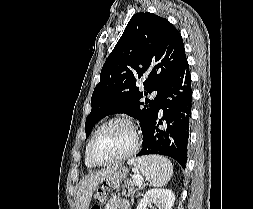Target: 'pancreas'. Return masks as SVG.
Returning a JSON list of instances; mask_svg holds the SVG:
<instances>
[{
	"mask_svg": "<svg viewBox=\"0 0 253 209\" xmlns=\"http://www.w3.org/2000/svg\"><path fill=\"white\" fill-rule=\"evenodd\" d=\"M136 182L132 180H126L124 185L122 186V195L123 196H131L133 198L134 193L137 191L135 189Z\"/></svg>",
	"mask_w": 253,
	"mask_h": 209,
	"instance_id": "1",
	"label": "pancreas"
}]
</instances>
